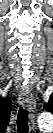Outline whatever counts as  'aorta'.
I'll return each mask as SVG.
<instances>
[{"mask_svg":"<svg viewBox=\"0 0 53 133\" xmlns=\"http://www.w3.org/2000/svg\"><path fill=\"white\" fill-rule=\"evenodd\" d=\"M38 124L42 129H50L52 126V115L49 112L42 113L38 116Z\"/></svg>","mask_w":53,"mask_h":133,"instance_id":"aorta-1","label":"aorta"}]
</instances>
